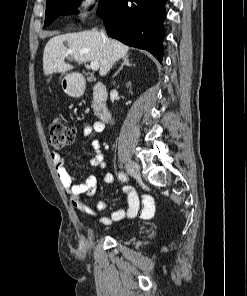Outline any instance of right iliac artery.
<instances>
[{"label":"right iliac artery","instance_id":"1","mask_svg":"<svg viewBox=\"0 0 247 296\" xmlns=\"http://www.w3.org/2000/svg\"><path fill=\"white\" fill-rule=\"evenodd\" d=\"M118 178H119L122 182H127V181L129 180L128 176H127L125 173H123V172H120V173L118 174Z\"/></svg>","mask_w":247,"mask_h":296}]
</instances>
